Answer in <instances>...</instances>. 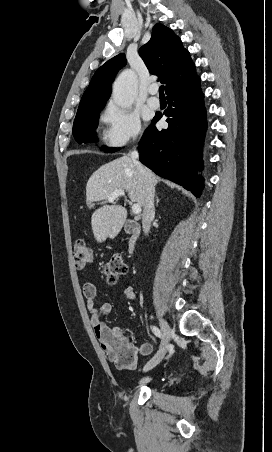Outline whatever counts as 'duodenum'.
Returning <instances> with one entry per match:
<instances>
[{"mask_svg":"<svg viewBox=\"0 0 272 452\" xmlns=\"http://www.w3.org/2000/svg\"><path fill=\"white\" fill-rule=\"evenodd\" d=\"M124 229L130 234L129 250L133 252L141 232L140 223L137 220H127L124 224Z\"/></svg>","mask_w":272,"mask_h":452,"instance_id":"1","label":"duodenum"}]
</instances>
